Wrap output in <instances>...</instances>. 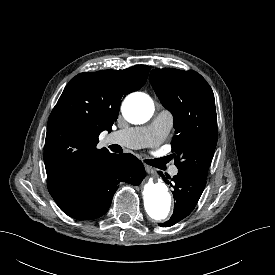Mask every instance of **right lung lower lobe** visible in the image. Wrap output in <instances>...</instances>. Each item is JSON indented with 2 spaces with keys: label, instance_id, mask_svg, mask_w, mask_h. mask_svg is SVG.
I'll return each mask as SVG.
<instances>
[{
  "label": "right lung lower lobe",
  "instance_id": "1",
  "mask_svg": "<svg viewBox=\"0 0 275 275\" xmlns=\"http://www.w3.org/2000/svg\"><path fill=\"white\" fill-rule=\"evenodd\" d=\"M144 177L142 162L132 154H109L78 174L54 200L72 218L95 219L108 211L121 181L139 185Z\"/></svg>",
  "mask_w": 275,
  "mask_h": 275
}]
</instances>
